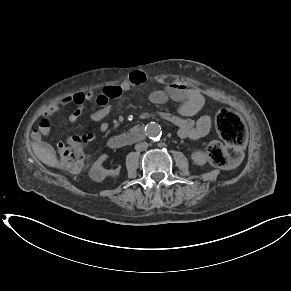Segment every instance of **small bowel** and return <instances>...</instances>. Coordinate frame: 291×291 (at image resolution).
Instances as JSON below:
<instances>
[{"label": "small bowel", "mask_w": 291, "mask_h": 291, "mask_svg": "<svg viewBox=\"0 0 291 291\" xmlns=\"http://www.w3.org/2000/svg\"><path fill=\"white\" fill-rule=\"evenodd\" d=\"M148 81L146 73L142 71H134L129 77L116 84H108L103 88L100 94L95 95L93 92H77L71 102L76 105V109L69 115L70 122H76L83 113V105L88 101H94L99 108L92 112L91 119L95 122H101L99 134L105 135L109 130V124L106 121L107 116L111 112L110 100L119 99L124 93L132 88L145 84ZM148 99L156 105H163L170 99L180 101L179 114H171L162 112L160 117L172 123L178 128V135L181 138L199 139L206 136L211 128V118L208 115L201 116L197 121L191 119L205 103L204 97L198 89L190 88L179 83H172L164 90H153L149 93ZM68 104L64 100L50 106L42 115L38 122V127L32 133L33 146L38 152L47 156L52 155L49 146L42 140L51 132L50 118L61 108ZM123 134V133H122ZM98 137L95 133H87L75 135L67 139L69 144L72 140H81L85 144L92 142ZM58 153L65 150V144L58 141L56 144Z\"/></svg>", "instance_id": "obj_1"}]
</instances>
